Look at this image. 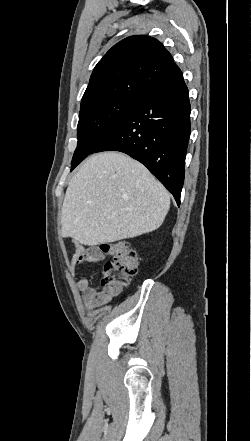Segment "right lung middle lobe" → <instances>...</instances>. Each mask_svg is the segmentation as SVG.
I'll return each instance as SVG.
<instances>
[{
	"label": "right lung middle lobe",
	"instance_id": "1",
	"mask_svg": "<svg viewBox=\"0 0 251 441\" xmlns=\"http://www.w3.org/2000/svg\"><path fill=\"white\" fill-rule=\"evenodd\" d=\"M141 97V95L110 97L80 108L77 126L78 143L72 158L71 171L91 154Z\"/></svg>",
	"mask_w": 251,
	"mask_h": 441
}]
</instances>
